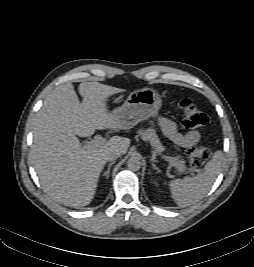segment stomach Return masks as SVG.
Segmentation results:
<instances>
[{
  "instance_id": "obj_1",
  "label": "stomach",
  "mask_w": 254,
  "mask_h": 267,
  "mask_svg": "<svg viewBox=\"0 0 254 267\" xmlns=\"http://www.w3.org/2000/svg\"><path fill=\"white\" fill-rule=\"evenodd\" d=\"M161 106L162 100L159 93L145 87L131 92L124 104L110 114L120 121L124 129H129L155 115Z\"/></svg>"
}]
</instances>
